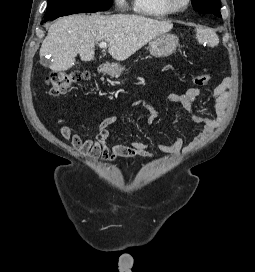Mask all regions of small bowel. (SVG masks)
<instances>
[{
  "instance_id": "obj_1",
  "label": "small bowel",
  "mask_w": 255,
  "mask_h": 272,
  "mask_svg": "<svg viewBox=\"0 0 255 272\" xmlns=\"http://www.w3.org/2000/svg\"><path fill=\"white\" fill-rule=\"evenodd\" d=\"M231 86V79L225 78L218 84L211 93L214 104V116H203L193 109L194 103L203 94V89L199 87L189 88L185 92H173L169 95V100L182 106L191 113L193 122L199 126L192 143L185 147L182 136H174L169 143L158 144L157 149L171 155H177L182 150H191L207 138L215 128L223 121L228 103V89ZM140 106L147 112V125L153 126L159 117V112L148 103L140 102ZM118 121V116L111 115L105 117L99 124L95 138L83 140L80 135L74 132L70 126L61 128V135L64 139L71 141L73 147L82 155L91 160L102 159L104 161L113 160L116 157H143L156 159L157 156L150 151V146L143 142H130L129 144H115L111 147L106 145L110 137L109 127Z\"/></svg>"
}]
</instances>
